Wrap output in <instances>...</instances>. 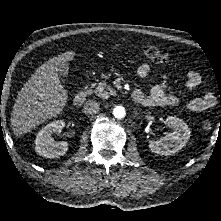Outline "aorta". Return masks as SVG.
I'll return each instance as SVG.
<instances>
[{"label": "aorta", "mask_w": 221, "mask_h": 221, "mask_svg": "<svg viewBox=\"0 0 221 221\" xmlns=\"http://www.w3.org/2000/svg\"><path fill=\"white\" fill-rule=\"evenodd\" d=\"M113 116L117 119H123L126 116V110L123 106H116L113 109Z\"/></svg>", "instance_id": "aorta-1"}]
</instances>
